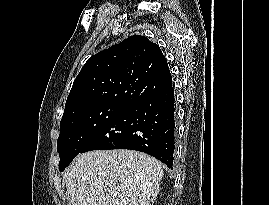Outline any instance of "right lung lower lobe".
<instances>
[{"mask_svg":"<svg viewBox=\"0 0 269 205\" xmlns=\"http://www.w3.org/2000/svg\"><path fill=\"white\" fill-rule=\"evenodd\" d=\"M132 149L150 154L173 169L174 89L144 97L113 117L81 150Z\"/></svg>","mask_w":269,"mask_h":205,"instance_id":"obj_1","label":"right lung lower lobe"}]
</instances>
